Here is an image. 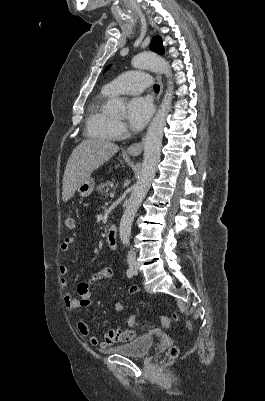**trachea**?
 Wrapping results in <instances>:
<instances>
[{"label": "trachea", "mask_w": 265, "mask_h": 401, "mask_svg": "<svg viewBox=\"0 0 265 401\" xmlns=\"http://www.w3.org/2000/svg\"><path fill=\"white\" fill-rule=\"evenodd\" d=\"M153 88H154L155 93H159V91H160L159 85L155 84Z\"/></svg>", "instance_id": "trachea-1"}]
</instances>
